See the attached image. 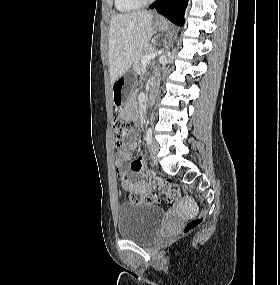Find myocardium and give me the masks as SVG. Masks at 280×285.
<instances>
[{
	"label": "myocardium",
	"instance_id": "f54148a6",
	"mask_svg": "<svg viewBox=\"0 0 280 285\" xmlns=\"http://www.w3.org/2000/svg\"><path fill=\"white\" fill-rule=\"evenodd\" d=\"M138 2H140L141 4H146V3H150L154 0H137Z\"/></svg>",
	"mask_w": 280,
	"mask_h": 285
}]
</instances>
